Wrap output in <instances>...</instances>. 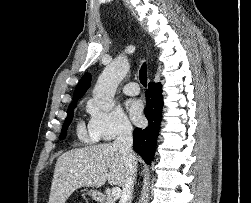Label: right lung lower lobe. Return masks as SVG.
<instances>
[{
  "instance_id": "obj_1",
  "label": "right lung lower lobe",
  "mask_w": 251,
  "mask_h": 203,
  "mask_svg": "<svg viewBox=\"0 0 251 203\" xmlns=\"http://www.w3.org/2000/svg\"><path fill=\"white\" fill-rule=\"evenodd\" d=\"M162 85L150 82L146 91L147 104L144 110L148 119L145 129L135 128L133 131V149L139 153L147 164H150L155 154V145L162 117Z\"/></svg>"
}]
</instances>
